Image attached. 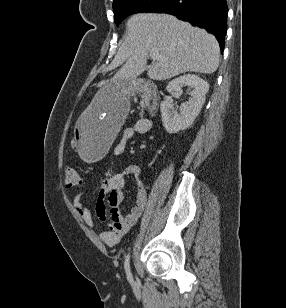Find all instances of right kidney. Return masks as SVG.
Wrapping results in <instances>:
<instances>
[{
	"label": "right kidney",
	"mask_w": 286,
	"mask_h": 308,
	"mask_svg": "<svg viewBox=\"0 0 286 308\" xmlns=\"http://www.w3.org/2000/svg\"><path fill=\"white\" fill-rule=\"evenodd\" d=\"M189 87L191 98L187 103H182L179 112L172 110L169 101H162L160 104L162 123L165 130L170 133H177L188 129L201 111L205 102V95L209 85L200 77L187 74L173 79L166 87L168 92L182 93V87Z\"/></svg>",
	"instance_id": "ca27d5eb"
}]
</instances>
